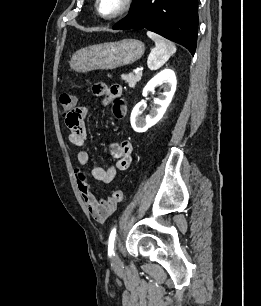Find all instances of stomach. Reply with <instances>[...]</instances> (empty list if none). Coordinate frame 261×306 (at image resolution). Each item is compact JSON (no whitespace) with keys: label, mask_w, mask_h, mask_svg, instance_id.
I'll return each mask as SVG.
<instances>
[{"label":"stomach","mask_w":261,"mask_h":306,"mask_svg":"<svg viewBox=\"0 0 261 306\" xmlns=\"http://www.w3.org/2000/svg\"><path fill=\"white\" fill-rule=\"evenodd\" d=\"M145 51L143 42L137 39H123L92 45L78 50L69 64L77 72H88L97 69H115L134 63Z\"/></svg>","instance_id":"0dacf381"}]
</instances>
